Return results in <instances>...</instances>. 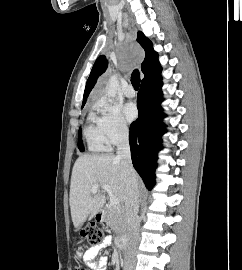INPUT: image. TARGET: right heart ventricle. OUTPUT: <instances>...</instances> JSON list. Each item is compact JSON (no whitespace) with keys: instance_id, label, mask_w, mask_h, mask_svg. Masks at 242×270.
Wrapping results in <instances>:
<instances>
[{"instance_id":"1","label":"right heart ventricle","mask_w":242,"mask_h":270,"mask_svg":"<svg viewBox=\"0 0 242 270\" xmlns=\"http://www.w3.org/2000/svg\"><path fill=\"white\" fill-rule=\"evenodd\" d=\"M84 137L88 149L92 152L108 150L109 144L101 126L100 116L91 110L88 114L87 124L84 129Z\"/></svg>"}]
</instances>
